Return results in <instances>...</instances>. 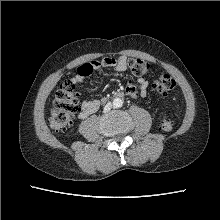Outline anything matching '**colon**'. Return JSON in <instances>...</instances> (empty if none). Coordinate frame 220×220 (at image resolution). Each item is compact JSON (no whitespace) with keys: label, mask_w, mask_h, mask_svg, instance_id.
<instances>
[{"label":"colon","mask_w":220,"mask_h":220,"mask_svg":"<svg viewBox=\"0 0 220 220\" xmlns=\"http://www.w3.org/2000/svg\"><path fill=\"white\" fill-rule=\"evenodd\" d=\"M128 66L131 72L136 76L146 75L150 69V65L139 58H130L128 60ZM90 71V69H87V73H90ZM154 86L159 93L165 94L172 91L176 83L169 74H162L159 79L155 81ZM78 105L79 100L76 86L71 81L63 82L56 92L51 112L50 122L53 130L56 132L65 131L71 125L78 111ZM159 126L160 129L165 132L173 129L170 111H164Z\"/></svg>","instance_id":"5ec220e1"}]
</instances>
